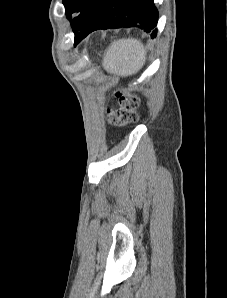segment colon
Returning <instances> with one entry per match:
<instances>
[{
    "label": "colon",
    "instance_id": "colon-1",
    "mask_svg": "<svg viewBox=\"0 0 227 298\" xmlns=\"http://www.w3.org/2000/svg\"><path fill=\"white\" fill-rule=\"evenodd\" d=\"M115 95L117 107L115 110H107L108 122L116 126L136 123L139 119L137 112L139 106L138 97L122 90L117 91Z\"/></svg>",
    "mask_w": 227,
    "mask_h": 298
}]
</instances>
